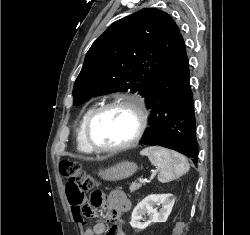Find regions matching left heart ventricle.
Listing matches in <instances>:
<instances>
[{
	"mask_svg": "<svg viewBox=\"0 0 250 235\" xmlns=\"http://www.w3.org/2000/svg\"><path fill=\"white\" fill-rule=\"evenodd\" d=\"M137 127L135 114L125 107H113L100 114L91 127L92 141L98 146L127 142Z\"/></svg>",
	"mask_w": 250,
	"mask_h": 235,
	"instance_id": "left-heart-ventricle-1",
	"label": "left heart ventricle"
}]
</instances>
